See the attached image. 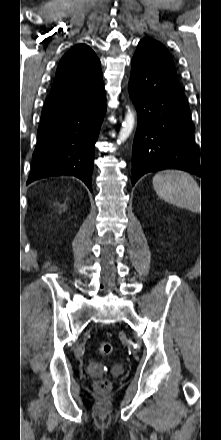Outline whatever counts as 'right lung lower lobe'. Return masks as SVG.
<instances>
[{"label": "right lung lower lobe", "instance_id": "obj_1", "mask_svg": "<svg viewBox=\"0 0 221 440\" xmlns=\"http://www.w3.org/2000/svg\"><path fill=\"white\" fill-rule=\"evenodd\" d=\"M105 112L103 81L91 87L51 92L42 110L27 184L49 176L72 175L92 191L95 143Z\"/></svg>", "mask_w": 221, "mask_h": 440}]
</instances>
